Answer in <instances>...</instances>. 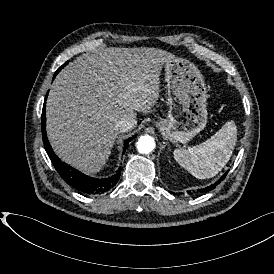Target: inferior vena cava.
Wrapping results in <instances>:
<instances>
[{
  "mask_svg": "<svg viewBox=\"0 0 274 274\" xmlns=\"http://www.w3.org/2000/svg\"><path fill=\"white\" fill-rule=\"evenodd\" d=\"M136 125V120L134 117H123L117 120L113 129L116 133L127 132L133 130Z\"/></svg>",
  "mask_w": 274,
  "mask_h": 274,
  "instance_id": "inferior-vena-cava-1",
  "label": "inferior vena cava"
}]
</instances>
